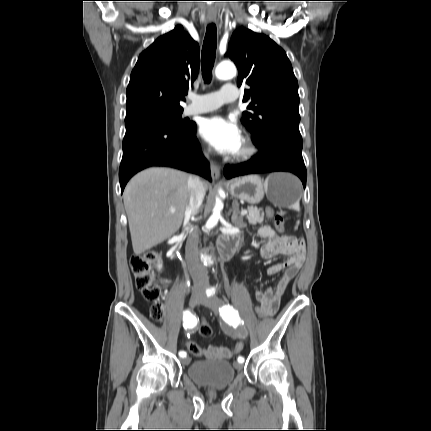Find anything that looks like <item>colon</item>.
<instances>
[{"label": "colon", "mask_w": 431, "mask_h": 431, "mask_svg": "<svg viewBox=\"0 0 431 431\" xmlns=\"http://www.w3.org/2000/svg\"><path fill=\"white\" fill-rule=\"evenodd\" d=\"M266 215L269 218H274V224L277 230L283 231L285 227V219H276V212L272 207L266 208ZM158 261V255L155 252H147L143 255L133 256L130 260V268L135 278L136 288L141 292L143 297L152 303L150 314L155 321H161L164 315V307L160 302V295L162 287L165 283L164 280L158 278V272L155 269V265ZM260 306L255 305L254 312L256 316L261 315L259 310ZM199 318L202 322L199 325V332L203 337H209L212 334V329L204 313H199ZM185 349L189 350V354L193 359H201L203 349L200 348V344L194 338H189L188 335H183ZM245 340L236 341L235 347H233L232 358H236V355H240L244 350Z\"/></svg>", "instance_id": "5ec220e1"}]
</instances>
